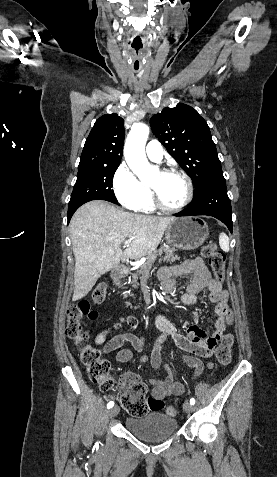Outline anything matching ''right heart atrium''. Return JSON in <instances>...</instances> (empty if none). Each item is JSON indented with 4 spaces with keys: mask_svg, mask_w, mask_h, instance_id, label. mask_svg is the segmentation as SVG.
I'll return each instance as SVG.
<instances>
[{
    "mask_svg": "<svg viewBox=\"0 0 277 477\" xmlns=\"http://www.w3.org/2000/svg\"><path fill=\"white\" fill-rule=\"evenodd\" d=\"M112 184L117 200L127 209L139 210L148 199V188L125 163L117 167Z\"/></svg>",
    "mask_w": 277,
    "mask_h": 477,
    "instance_id": "1",
    "label": "right heart atrium"
}]
</instances>
